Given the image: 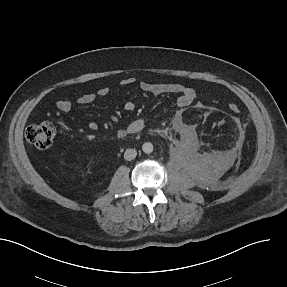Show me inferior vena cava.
I'll return each mask as SVG.
<instances>
[{"mask_svg":"<svg viewBox=\"0 0 287 287\" xmlns=\"http://www.w3.org/2000/svg\"><path fill=\"white\" fill-rule=\"evenodd\" d=\"M137 155V151L135 149H127L124 153V159L127 161L133 160Z\"/></svg>","mask_w":287,"mask_h":287,"instance_id":"obj_1","label":"inferior vena cava"}]
</instances>
